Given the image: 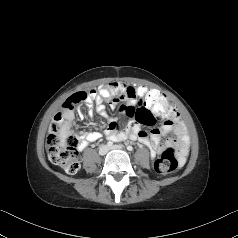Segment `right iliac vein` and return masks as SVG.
Returning <instances> with one entry per match:
<instances>
[{"instance_id":"63e3f726","label":"right iliac vein","mask_w":238,"mask_h":238,"mask_svg":"<svg viewBox=\"0 0 238 238\" xmlns=\"http://www.w3.org/2000/svg\"><path fill=\"white\" fill-rule=\"evenodd\" d=\"M108 152V147L106 145H102L99 147V154L104 156Z\"/></svg>"}]
</instances>
